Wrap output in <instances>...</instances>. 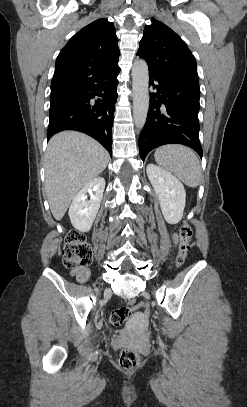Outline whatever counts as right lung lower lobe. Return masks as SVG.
Listing matches in <instances>:
<instances>
[{"instance_id": "right-lung-lower-lobe-1", "label": "right lung lower lobe", "mask_w": 247, "mask_h": 407, "mask_svg": "<svg viewBox=\"0 0 247 407\" xmlns=\"http://www.w3.org/2000/svg\"><path fill=\"white\" fill-rule=\"evenodd\" d=\"M120 67L98 71L79 87L50 98L48 140L63 130H76L96 139L112 156V125ZM99 98L94 104L91 98Z\"/></svg>"}]
</instances>
